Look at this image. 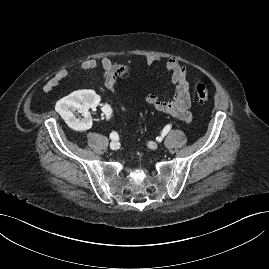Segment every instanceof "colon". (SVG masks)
I'll return each mask as SVG.
<instances>
[{
    "instance_id": "5ec220e1",
    "label": "colon",
    "mask_w": 269,
    "mask_h": 269,
    "mask_svg": "<svg viewBox=\"0 0 269 269\" xmlns=\"http://www.w3.org/2000/svg\"><path fill=\"white\" fill-rule=\"evenodd\" d=\"M128 76L129 72L127 70H122L118 73L120 79H126ZM195 95L199 103H205L209 99L210 92L207 86L202 83H197L195 85Z\"/></svg>"
}]
</instances>
